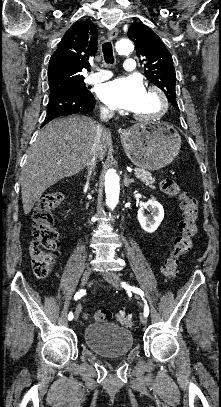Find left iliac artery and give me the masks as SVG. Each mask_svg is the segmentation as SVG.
Wrapping results in <instances>:
<instances>
[{
    "instance_id": "left-iliac-artery-1",
    "label": "left iliac artery",
    "mask_w": 221,
    "mask_h": 407,
    "mask_svg": "<svg viewBox=\"0 0 221 407\" xmlns=\"http://www.w3.org/2000/svg\"><path fill=\"white\" fill-rule=\"evenodd\" d=\"M122 286H123L126 290L133 291V292L139 294V295L143 298L144 293H143V291H142L141 289H139V288H137V287H131V286L127 285L125 282H122ZM144 301H145L144 315L147 317V316L149 315V307H148V305H147L146 300H144Z\"/></svg>"
}]
</instances>
